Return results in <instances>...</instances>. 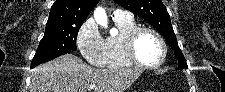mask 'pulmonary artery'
<instances>
[{
  "label": "pulmonary artery",
  "mask_w": 225,
  "mask_h": 92,
  "mask_svg": "<svg viewBox=\"0 0 225 92\" xmlns=\"http://www.w3.org/2000/svg\"><path fill=\"white\" fill-rule=\"evenodd\" d=\"M132 14L128 11H124L121 9H116L113 12V19H123V18H131Z\"/></svg>",
  "instance_id": "obj_1"
}]
</instances>
